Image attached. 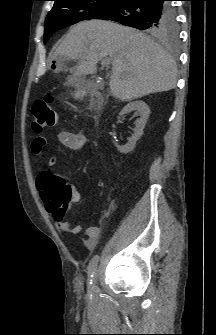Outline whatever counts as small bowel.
Wrapping results in <instances>:
<instances>
[{"instance_id": "c3829d8e", "label": "small bowel", "mask_w": 216, "mask_h": 335, "mask_svg": "<svg viewBox=\"0 0 216 335\" xmlns=\"http://www.w3.org/2000/svg\"><path fill=\"white\" fill-rule=\"evenodd\" d=\"M58 142L65 148L74 152H83L87 146V139L81 132L71 133L68 131H61L57 136ZM46 145V139L43 136H37L33 139L31 144V151L34 155H40ZM56 164V158L52 157L47 162L45 170L38 174L36 186L40 193V197L44 202L47 211L53 216L56 226L63 231L77 235L82 231V227L78 224L69 223L64 216V209L58 205V201L53 197L51 186L56 180L53 169ZM70 189V188H69ZM71 197L74 202L80 200V194L76 189L70 190ZM102 233V225H91L86 228V237L83 239V244L86 248L92 249L96 245Z\"/></svg>"}]
</instances>
